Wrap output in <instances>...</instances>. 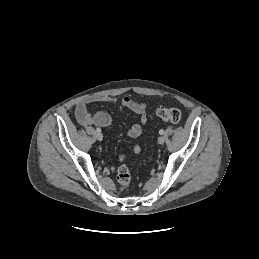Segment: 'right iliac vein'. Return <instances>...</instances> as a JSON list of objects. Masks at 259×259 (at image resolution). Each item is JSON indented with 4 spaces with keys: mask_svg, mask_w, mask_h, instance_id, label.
<instances>
[{
    "mask_svg": "<svg viewBox=\"0 0 259 259\" xmlns=\"http://www.w3.org/2000/svg\"><path fill=\"white\" fill-rule=\"evenodd\" d=\"M96 138H97V140L102 141L103 135L101 133H97Z\"/></svg>",
    "mask_w": 259,
    "mask_h": 259,
    "instance_id": "obj_1",
    "label": "right iliac vein"
}]
</instances>
